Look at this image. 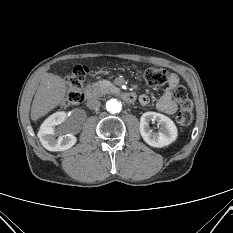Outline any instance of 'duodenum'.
I'll return each mask as SVG.
<instances>
[{"label":"duodenum","mask_w":233,"mask_h":233,"mask_svg":"<svg viewBox=\"0 0 233 233\" xmlns=\"http://www.w3.org/2000/svg\"><path fill=\"white\" fill-rule=\"evenodd\" d=\"M97 92L92 87H87L84 91L85 98L91 100L96 96ZM120 96L129 103H132L136 100V95L132 92H121Z\"/></svg>","instance_id":"410a0bca"}]
</instances>
